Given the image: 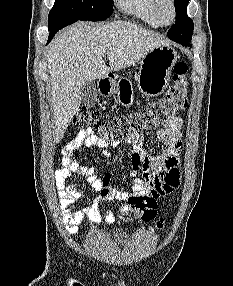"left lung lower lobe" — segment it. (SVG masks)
<instances>
[{
    "label": "left lung lower lobe",
    "instance_id": "obj_1",
    "mask_svg": "<svg viewBox=\"0 0 233 286\" xmlns=\"http://www.w3.org/2000/svg\"><path fill=\"white\" fill-rule=\"evenodd\" d=\"M177 43H180L184 46H190V44L188 43L189 41H176Z\"/></svg>",
    "mask_w": 233,
    "mask_h": 286
}]
</instances>
